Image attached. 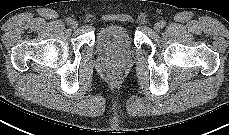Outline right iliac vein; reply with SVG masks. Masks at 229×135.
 <instances>
[{
    "label": "right iliac vein",
    "instance_id": "obj_1",
    "mask_svg": "<svg viewBox=\"0 0 229 135\" xmlns=\"http://www.w3.org/2000/svg\"><path fill=\"white\" fill-rule=\"evenodd\" d=\"M71 26L73 28H77L78 27V22L77 21H72Z\"/></svg>",
    "mask_w": 229,
    "mask_h": 135
}]
</instances>
